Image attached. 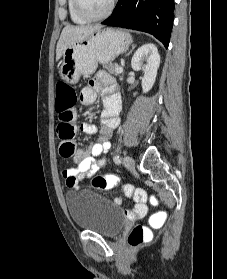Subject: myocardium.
I'll use <instances>...</instances> for the list:
<instances>
[{
    "label": "myocardium",
    "instance_id": "obj_1",
    "mask_svg": "<svg viewBox=\"0 0 227 279\" xmlns=\"http://www.w3.org/2000/svg\"><path fill=\"white\" fill-rule=\"evenodd\" d=\"M74 1V7H75V10L77 12V14L82 17L84 20L86 21H99V20H102V19H105L107 18L108 16H110V14L112 13V11L114 10L115 8V4H116V1L117 0H110V4L107 8V10L100 14V15H97V16H92V15H89L81 6V3H80V0H73Z\"/></svg>",
    "mask_w": 227,
    "mask_h": 279
}]
</instances>
